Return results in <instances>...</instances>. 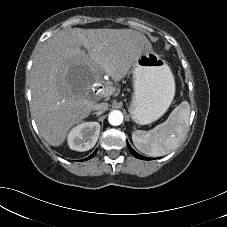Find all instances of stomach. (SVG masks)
Returning <instances> with one entry per match:
<instances>
[{"mask_svg": "<svg viewBox=\"0 0 227 227\" xmlns=\"http://www.w3.org/2000/svg\"><path fill=\"white\" fill-rule=\"evenodd\" d=\"M134 94L129 107L132 120L146 125L159 119L175 95V80L165 60L154 52H143L132 65Z\"/></svg>", "mask_w": 227, "mask_h": 227, "instance_id": "stomach-1", "label": "stomach"}]
</instances>
